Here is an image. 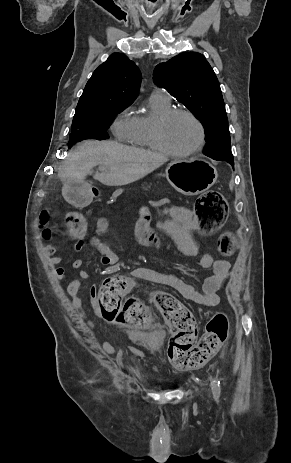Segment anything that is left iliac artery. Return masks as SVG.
I'll return each mask as SVG.
<instances>
[{"label":"left iliac artery","mask_w":291,"mask_h":463,"mask_svg":"<svg viewBox=\"0 0 291 463\" xmlns=\"http://www.w3.org/2000/svg\"><path fill=\"white\" fill-rule=\"evenodd\" d=\"M211 386L214 398L217 400L220 396V381L218 379H214Z\"/></svg>","instance_id":"44dca946"}]
</instances>
